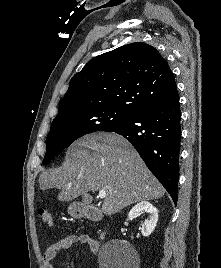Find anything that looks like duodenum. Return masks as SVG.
Returning <instances> with one entry per match:
<instances>
[{
    "label": "duodenum",
    "mask_w": 221,
    "mask_h": 268,
    "mask_svg": "<svg viewBox=\"0 0 221 268\" xmlns=\"http://www.w3.org/2000/svg\"><path fill=\"white\" fill-rule=\"evenodd\" d=\"M83 215L92 220V221H97L100 219V213L96 210V209H93V208H85L83 211H82ZM103 236V233L101 234V237Z\"/></svg>",
    "instance_id": "1"
}]
</instances>
